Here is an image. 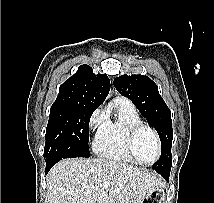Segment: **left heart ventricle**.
<instances>
[{
    "mask_svg": "<svg viewBox=\"0 0 214 203\" xmlns=\"http://www.w3.org/2000/svg\"><path fill=\"white\" fill-rule=\"evenodd\" d=\"M135 151L144 162H151L156 158L157 146L150 131L143 130L138 134L135 141Z\"/></svg>",
    "mask_w": 214,
    "mask_h": 203,
    "instance_id": "1",
    "label": "left heart ventricle"
}]
</instances>
